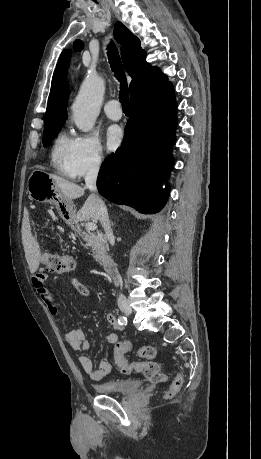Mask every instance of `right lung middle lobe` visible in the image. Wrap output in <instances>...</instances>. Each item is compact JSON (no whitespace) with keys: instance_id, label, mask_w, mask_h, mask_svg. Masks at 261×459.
<instances>
[{"instance_id":"obj_1","label":"right lung middle lobe","mask_w":261,"mask_h":459,"mask_svg":"<svg viewBox=\"0 0 261 459\" xmlns=\"http://www.w3.org/2000/svg\"><path fill=\"white\" fill-rule=\"evenodd\" d=\"M64 123L46 125L43 132V145L47 146L58 134Z\"/></svg>"}]
</instances>
